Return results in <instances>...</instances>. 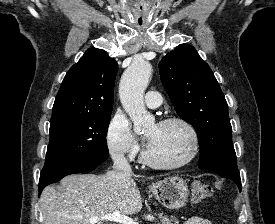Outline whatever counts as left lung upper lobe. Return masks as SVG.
Segmentation results:
<instances>
[{
    "label": "left lung upper lobe",
    "instance_id": "left-lung-upper-lobe-1",
    "mask_svg": "<svg viewBox=\"0 0 275 224\" xmlns=\"http://www.w3.org/2000/svg\"><path fill=\"white\" fill-rule=\"evenodd\" d=\"M159 71L177 114L196 129L199 168L240 177L228 105L208 64L193 46L181 44L162 58Z\"/></svg>",
    "mask_w": 275,
    "mask_h": 224
}]
</instances>
